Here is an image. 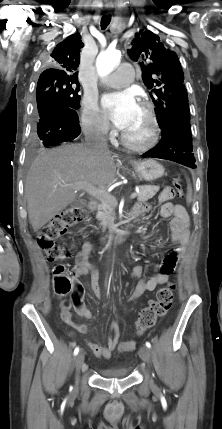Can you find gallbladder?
<instances>
[{
    "label": "gallbladder",
    "instance_id": "gallbladder-1",
    "mask_svg": "<svg viewBox=\"0 0 222 429\" xmlns=\"http://www.w3.org/2000/svg\"><path fill=\"white\" fill-rule=\"evenodd\" d=\"M71 206L75 207V206H81V202L79 201H74L71 203Z\"/></svg>",
    "mask_w": 222,
    "mask_h": 429
}]
</instances>
